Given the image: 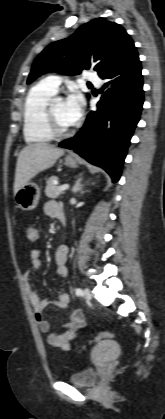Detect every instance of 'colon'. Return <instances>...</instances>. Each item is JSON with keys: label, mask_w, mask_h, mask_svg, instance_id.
Instances as JSON below:
<instances>
[{"label": "colon", "mask_w": 165, "mask_h": 419, "mask_svg": "<svg viewBox=\"0 0 165 419\" xmlns=\"http://www.w3.org/2000/svg\"><path fill=\"white\" fill-rule=\"evenodd\" d=\"M32 236H35V233L33 231L30 232ZM113 336L112 332L110 331H104L101 332L100 334H98L93 341L94 342H98V341H103V340H107L110 339Z\"/></svg>", "instance_id": "1"}]
</instances>
